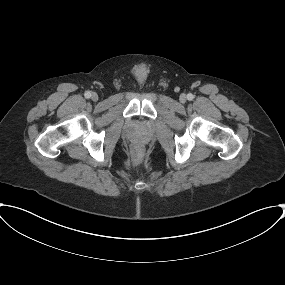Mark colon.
Wrapping results in <instances>:
<instances>
[{
	"label": "colon",
	"mask_w": 285,
	"mask_h": 285,
	"mask_svg": "<svg viewBox=\"0 0 285 285\" xmlns=\"http://www.w3.org/2000/svg\"><path fill=\"white\" fill-rule=\"evenodd\" d=\"M138 161V158L137 156L134 157V162H137Z\"/></svg>",
	"instance_id": "5ec220e1"
}]
</instances>
